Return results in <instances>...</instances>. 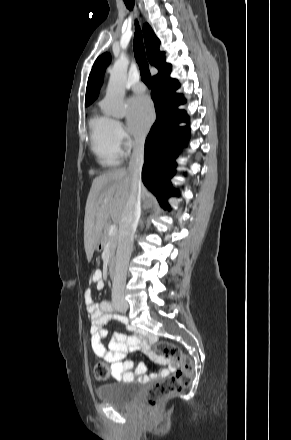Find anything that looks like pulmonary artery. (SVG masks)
<instances>
[{
  "label": "pulmonary artery",
  "instance_id": "e3ab8cb5",
  "mask_svg": "<svg viewBox=\"0 0 291 440\" xmlns=\"http://www.w3.org/2000/svg\"><path fill=\"white\" fill-rule=\"evenodd\" d=\"M132 90L138 94L143 93L146 90V85L143 81H137L133 84Z\"/></svg>",
  "mask_w": 291,
  "mask_h": 440
}]
</instances>
